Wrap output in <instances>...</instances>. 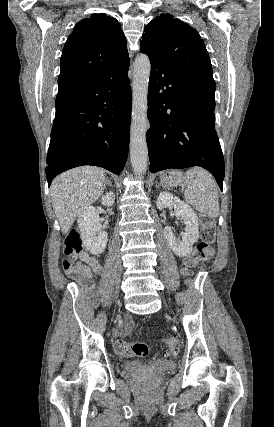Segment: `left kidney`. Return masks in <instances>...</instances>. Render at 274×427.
<instances>
[{
  "label": "left kidney",
  "instance_id": "obj_1",
  "mask_svg": "<svg viewBox=\"0 0 274 427\" xmlns=\"http://www.w3.org/2000/svg\"><path fill=\"white\" fill-rule=\"evenodd\" d=\"M156 206L158 210L171 208L172 206V208H174V214L180 217V219H183L185 233H182L181 239L174 235L170 225L164 227V235L169 247H171L176 255H179V257L189 255L192 251L193 243H195L199 237L198 215L193 212L188 204L181 202L179 198H176L173 194H169V192H161Z\"/></svg>",
  "mask_w": 274,
  "mask_h": 427
}]
</instances>
